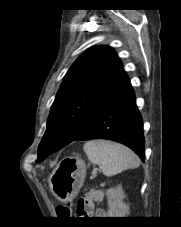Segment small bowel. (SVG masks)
Instances as JSON below:
<instances>
[{"mask_svg":"<svg viewBox=\"0 0 181 227\" xmlns=\"http://www.w3.org/2000/svg\"><path fill=\"white\" fill-rule=\"evenodd\" d=\"M104 194L101 190H89L86 195L79 199L76 214L86 217L102 218L106 211L102 208H95L96 203L103 201Z\"/></svg>","mask_w":181,"mask_h":227,"instance_id":"1","label":"small bowel"}]
</instances>
